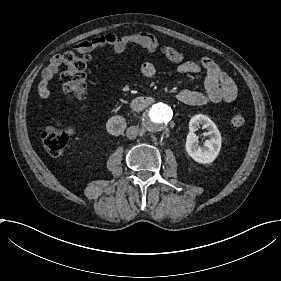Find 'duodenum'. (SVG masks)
Returning <instances> with one entry per match:
<instances>
[{
    "label": "duodenum",
    "instance_id": "duodenum-1",
    "mask_svg": "<svg viewBox=\"0 0 281 281\" xmlns=\"http://www.w3.org/2000/svg\"><path fill=\"white\" fill-rule=\"evenodd\" d=\"M153 98L149 96H139L132 100L130 107L133 112H139L153 103ZM127 121L123 115H115L111 117L107 123V130L112 135H120L125 127Z\"/></svg>",
    "mask_w": 281,
    "mask_h": 281
}]
</instances>
